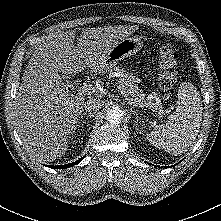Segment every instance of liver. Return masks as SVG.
Here are the masks:
<instances>
[{"mask_svg":"<svg viewBox=\"0 0 221 221\" xmlns=\"http://www.w3.org/2000/svg\"><path fill=\"white\" fill-rule=\"evenodd\" d=\"M137 26L88 28L75 47L76 30L52 34L29 59L16 93L14 125L30 154L53 161L67 143L83 111L85 96L72 94L59 73L75 75L97 63Z\"/></svg>","mask_w":221,"mask_h":221,"instance_id":"obj_1","label":"liver"}]
</instances>
